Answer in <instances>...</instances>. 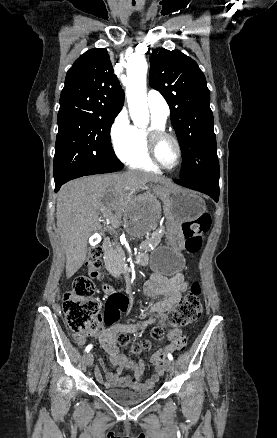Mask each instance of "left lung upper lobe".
<instances>
[{
    "mask_svg": "<svg viewBox=\"0 0 277 438\" xmlns=\"http://www.w3.org/2000/svg\"><path fill=\"white\" fill-rule=\"evenodd\" d=\"M149 83L170 107L183 155L181 180L219 183L210 91L197 63L179 50L153 51Z\"/></svg>",
    "mask_w": 277,
    "mask_h": 438,
    "instance_id": "obj_1",
    "label": "left lung upper lobe"
}]
</instances>
